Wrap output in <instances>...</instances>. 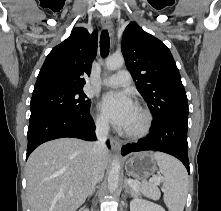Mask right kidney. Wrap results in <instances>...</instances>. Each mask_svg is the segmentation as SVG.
I'll return each mask as SVG.
<instances>
[{
	"mask_svg": "<svg viewBox=\"0 0 221 211\" xmlns=\"http://www.w3.org/2000/svg\"><path fill=\"white\" fill-rule=\"evenodd\" d=\"M80 211H89L88 209L80 210Z\"/></svg>",
	"mask_w": 221,
	"mask_h": 211,
	"instance_id": "ca27d5eb",
	"label": "right kidney"
}]
</instances>
